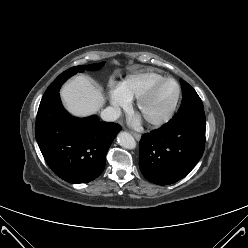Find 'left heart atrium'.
Wrapping results in <instances>:
<instances>
[{
	"label": "left heart atrium",
	"instance_id": "left-heart-atrium-1",
	"mask_svg": "<svg viewBox=\"0 0 248 248\" xmlns=\"http://www.w3.org/2000/svg\"><path fill=\"white\" fill-rule=\"evenodd\" d=\"M130 121L135 126L139 125V123H140V119L138 117H133V118H131Z\"/></svg>",
	"mask_w": 248,
	"mask_h": 248
}]
</instances>
